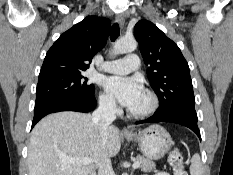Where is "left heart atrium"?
<instances>
[{"instance_id": "obj_1", "label": "left heart atrium", "mask_w": 233, "mask_h": 175, "mask_svg": "<svg viewBox=\"0 0 233 175\" xmlns=\"http://www.w3.org/2000/svg\"><path fill=\"white\" fill-rule=\"evenodd\" d=\"M105 87L109 93L125 107H135L144 95L141 81L137 78L112 76L106 79Z\"/></svg>"}]
</instances>
